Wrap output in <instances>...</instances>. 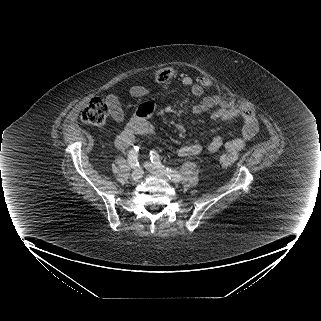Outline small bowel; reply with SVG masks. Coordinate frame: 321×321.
I'll use <instances>...</instances> for the list:
<instances>
[{"instance_id":"1","label":"small bowel","mask_w":321,"mask_h":321,"mask_svg":"<svg viewBox=\"0 0 321 321\" xmlns=\"http://www.w3.org/2000/svg\"><path fill=\"white\" fill-rule=\"evenodd\" d=\"M183 84L187 85L191 89V93L195 96H199L203 93V87L193 84L190 77H184L182 79ZM146 93V90L142 86H133L131 88V94L135 97H142ZM222 103L220 96L210 95L205 97L201 102L195 104L192 107V112L196 115L205 113L215 106ZM106 104L109 108L111 117L117 123H125L124 129L116 138V146L119 149L125 150L136 144L139 136L151 135L155 132L153 124L149 121V117L152 113L151 103L147 102L140 106L134 116L125 122L124 112L118 97L114 94H110L106 97ZM214 120L217 121H233L241 120L243 122L241 137L224 141L220 137L212 138L207 144V149L210 152H216L221 148H225L231 152H239L243 150L248 143L254 141L259 133V122L255 113L248 108H239L233 105L222 106L215 110L212 114ZM177 129L180 132H184V126L177 124ZM202 151V147L198 144H187L179 147L176 150V155L179 157H189L198 155Z\"/></svg>"}]
</instances>
